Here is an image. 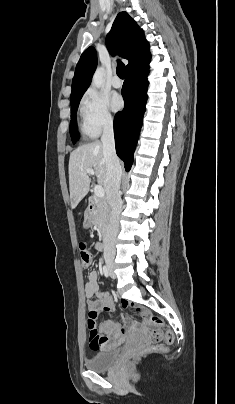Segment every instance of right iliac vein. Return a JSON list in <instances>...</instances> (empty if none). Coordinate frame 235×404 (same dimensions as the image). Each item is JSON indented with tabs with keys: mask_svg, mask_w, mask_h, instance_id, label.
I'll return each instance as SVG.
<instances>
[{
	"mask_svg": "<svg viewBox=\"0 0 235 404\" xmlns=\"http://www.w3.org/2000/svg\"><path fill=\"white\" fill-rule=\"evenodd\" d=\"M105 261H106L110 275L114 278L115 277L114 263H113L112 259H110L109 257H105Z\"/></svg>",
	"mask_w": 235,
	"mask_h": 404,
	"instance_id": "63e3f726",
	"label": "right iliac vein"
}]
</instances>
